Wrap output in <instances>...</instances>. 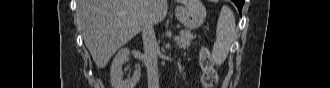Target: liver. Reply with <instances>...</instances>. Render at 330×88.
I'll use <instances>...</instances> for the list:
<instances>
[{"label": "liver", "mask_w": 330, "mask_h": 88, "mask_svg": "<svg viewBox=\"0 0 330 88\" xmlns=\"http://www.w3.org/2000/svg\"><path fill=\"white\" fill-rule=\"evenodd\" d=\"M188 4L190 0H178ZM167 0H79V18L86 47L98 68L143 30L146 22L158 24L167 14Z\"/></svg>", "instance_id": "obj_1"}]
</instances>
